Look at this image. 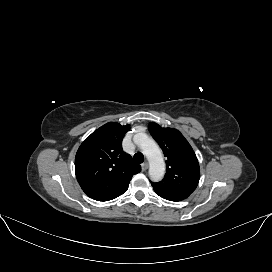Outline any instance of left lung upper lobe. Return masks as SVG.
Masks as SVG:
<instances>
[{"instance_id": "5c2ea615", "label": "left lung upper lobe", "mask_w": 272, "mask_h": 272, "mask_svg": "<svg viewBox=\"0 0 272 272\" xmlns=\"http://www.w3.org/2000/svg\"><path fill=\"white\" fill-rule=\"evenodd\" d=\"M148 129L167 157L164 179L151 183L154 191L177 201L186 199L200 179L199 163L192 147L176 129L162 128L154 122H150Z\"/></svg>"}]
</instances>
